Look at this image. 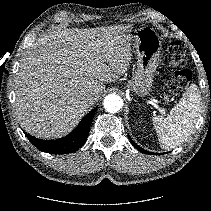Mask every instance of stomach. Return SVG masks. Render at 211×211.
Wrapping results in <instances>:
<instances>
[{"instance_id":"obj_1","label":"stomach","mask_w":211,"mask_h":211,"mask_svg":"<svg viewBox=\"0 0 211 211\" xmlns=\"http://www.w3.org/2000/svg\"><path fill=\"white\" fill-rule=\"evenodd\" d=\"M129 42L136 49L137 70L126 87L137 96L147 95L152 89L158 67L161 41L151 28L130 29Z\"/></svg>"}]
</instances>
